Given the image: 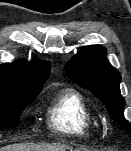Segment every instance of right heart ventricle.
Returning <instances> with one entry per match:
<instances>
[{"label":"right heart ventricle","mask_w":131,"mask_h":151,"mask_svg":"<svg viewBox=\"0 0 131 151\" xmlns=\"http://www.w3.org/2000/svg\"><path fill=\"white\" fill-rule=\"evenodd\" d=\"M55 131L73 136H90L100 129V121L85 98L74 90L62 92L49 111Z\"/></svg>","instance_id":"obj_1"}]
</instances>
